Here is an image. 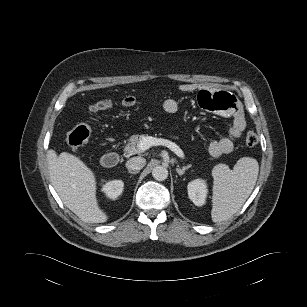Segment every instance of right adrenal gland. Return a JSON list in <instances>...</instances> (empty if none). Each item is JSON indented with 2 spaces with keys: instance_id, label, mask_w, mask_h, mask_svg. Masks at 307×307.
I'll return each mask as SVG.
<instances>
[{
  "instance_id": "obj_1",
  "label": "right adrenal gland",
  "mask_w": 307,
  "mask_h": 307,
  "mask_svg": "<svg viewBox=\"0 0 307 307\" xmlns=\"http://www.w3.org/2000/svg\"><path fill=\"white\" fill-rule=\"evenodd\" d=\"M128 172H129L130 174H137V173H138V171H131V170H128Z\"/></svg>"
}]
</instances>
